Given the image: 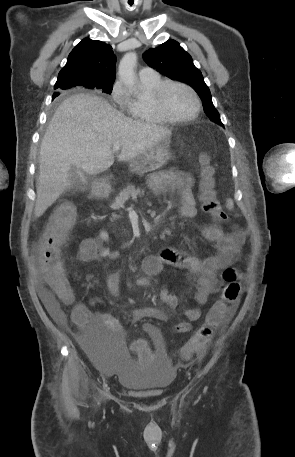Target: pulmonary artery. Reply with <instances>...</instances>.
<instances>
[{"label": "pulmonary artery", "instance_id": "obj_1", "mask_svg": "<svg viewBox=\"0 0 295 457\" xmlns=\"http://www.w3.org/2000/svg\"><path fill=\"white\" fill-rule=\"evenodd\" d=\"M157 75L156 71L150 67H143L139 71V77L140 79H149L153 78Z\"/></svg>", "mask_w": 295, "mask_h": 457}]
</instances>
